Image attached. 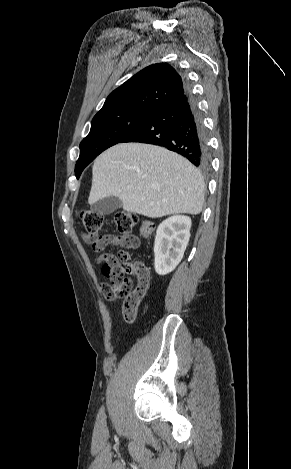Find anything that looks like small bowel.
<instances>
[{
  "label": "small bowel",
  "mask_w": 291,
  "mask_h": 469,
  "mask_svg": "<svg viewBox=\"0 0 291 469\" xmlns=\"http://www.w3.org/2000/svg\"><path fill=\"white\" fill-rule=\"evenodd\" d=\"M83 238H84V240H85L86 242H90L89 238H88L86 235H84ZM132 238H133V240H134V245H133V247H135V246L137 245V239H136L135 237H132ZM104 256L107 257V258H113V256L110 255V254H104ZM101 285H102V284H101ZM138 285H139L140 287H142V288L144 289V291L146 292V290H147V288H148V286H149V276H148V273H147V276H146L144 279H139Z\"/></svg>",
  "instance_id": "c3829d8e"
}]
</instances>
